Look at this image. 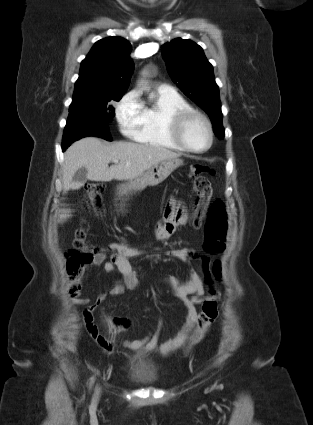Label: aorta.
<instances>
[{
  "mask_svg": "<svg viewBox=\"0 0 313 425\" xmlns=\"http://www.w3.org/2000/svg\"><path fill=\"white\" fill-rule=\"evenodd\" d=\"M140 84H144L145 82H144V80H140V82H139Z\"/></svg>",
  "mask_w": 313,
  "mask_h": 425,
  "instance_id": "762f6f07",
  "label": "aorta"
}]
</instances>
